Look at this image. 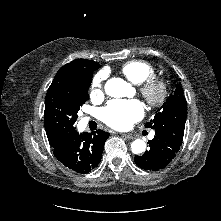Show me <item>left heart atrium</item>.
Returning <instances> with one entry per match:
<instances>
[{
  "mask_svg": "<svg viewBox=\"0 0 221 221\" xmlns=\"http://www.w3.org/2000/svg\"><path fill=\"white\" fill-rule=\"evenodd\" d=\"M143 115V106L137 100H114L101 110L102 121L117 130L130 128Z\"/></svg>",
  "mask_w": 221,
  "mask_h": 221,
  "instance_id": "left-heart-atrium-1",
  "label": "left heart atrium"
}]
</instances>
